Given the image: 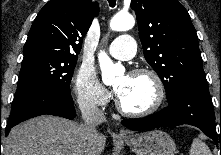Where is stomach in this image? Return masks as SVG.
Segmentation results:
<instances>
[{
    "mask_svg": "<svg viewBox=\"0 0 221 155\" xmlns=\"http://www.w3.org/2000/svg\"><path fill=\"white\" fill-rule=\"evenodd\" d=\"M136 155H176L173 139L161 130H151L122 137Z\"/></svg>",
    "mask_w": 221,
    "mask_h": 155,
    "instance_id": "obj_1",
    "label": "stomach"
}]
</instances>
